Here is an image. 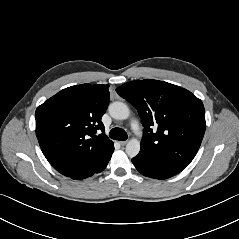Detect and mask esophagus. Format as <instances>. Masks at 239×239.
Instances as JSON below:
<instances>
[{
    "instance_id": "obj_1",
    "label": "esophagus",
    "mask_w": 239,
    "mask_h": 239,
    "mask_svg": "<svg viewBox=\"0 0 239 239\" xmlns=\"http://www.w3.org/2000/svg\"><path fill=\"white\" fill-rule=\"evenodd\" d=\"M120 144H121L122 146H124V145L127 144V141H120Z\"/></svg>"
}]
</instances>
